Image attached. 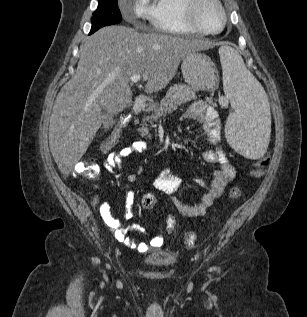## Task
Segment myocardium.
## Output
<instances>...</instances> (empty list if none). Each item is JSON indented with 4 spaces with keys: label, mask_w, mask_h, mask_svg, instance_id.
Returning a JSON list of instances; mask_svg holds the SVG:
<instances>
[{
    "label": "myocardium",
    "mask_w": 307,
    "mask_h": 317,
    "mask_svg": "<svg viewBox=\"0 0 307 317\" xmlns=\"http://www.w3.org/2000/svg\"><path fill=\"white\" fill-rule=\"evenodd\" d=\"M186 17L190 26L200 34L214 35L220 33L227 22V14L220 0H185ZM205 3H212L217 7L221 15V25L214 31L206 30L200 23L198 12L200 7Z\"/></svg>",
    "instance_id": "1"
}]
</instances>
